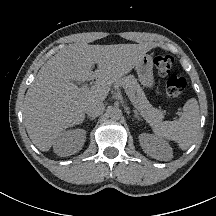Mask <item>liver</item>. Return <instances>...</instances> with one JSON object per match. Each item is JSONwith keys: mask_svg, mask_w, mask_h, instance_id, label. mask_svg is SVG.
<instances>
[{"mask_svg": "<svg viewBox=\"0 0 216 216\" xmlns=\"http://www.w3.org/2000/svg\"><path fill=\"white\" fill-rule=\"evenodd\" d=\"M150 49L146 43H77L52 56L39 70L24 100V124L33 144L49 151L64 129L84 121L87 104L104 101L111 85L129 73ZM93 79L95 85L87 90L74 84Z\"/></svg>", "mask_w": 216, "mask_h": 216, "instance_id": "6515ba94", "label": "liver"}]
</instances>
